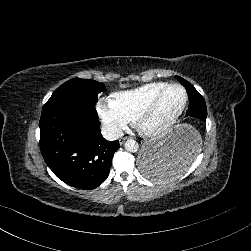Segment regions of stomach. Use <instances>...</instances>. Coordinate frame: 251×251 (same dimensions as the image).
I'll list each match as a JSON object with an SVG mask.
<instances>
[{
  "label": "stomach",
  "instance_id": "stomach-1",
  "mask_svg": "<svg viewBox=\"0 0 251 251\" xmlns=\"http://www.w3.org/2000/svg\"><path fill=\"white\" fill-rule=\"evenodd\" d=\"M199 131L189 123H180L159 138L145 140L138 154L143 175L158 182L184 173L199 154Z\"/></svg>",
  "mask_w": 251,
  "mask_h": 251
}]
</instances>
